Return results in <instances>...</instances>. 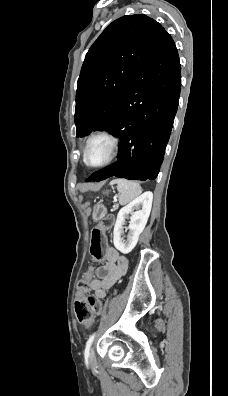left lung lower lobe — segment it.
I'll list each match as a JSON object with an SVG mask.
<instances>
[{"label":"left lung lower lobe","instance_id":"1","mask_svg":"<svg viewBox=\"0 0 228 396\" xmlns=\"http://www.w3.org/2000/svg\"><path fill=\"white\" fill-rule=\"evenodd\" d=\"M180 89L177 49L162 28L106 130L121 140L118 161L93 173L86 182L111 176L141 181L155 179L170 137Z\"/></svg>","mask_w":228,"mask_h":396}]
</instances>
